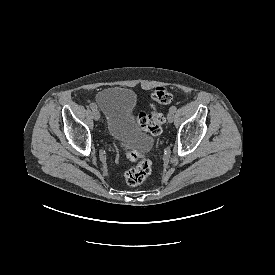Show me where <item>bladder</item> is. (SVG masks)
<instances>
[{
	"instance_id": "31cf9c89",
	"label": "bladder",
	"mask_w": 275,
	"mask_h": 275,
	"mask_svg": "<svg viewBox=\"0 0 275 275\" xmlns=\"http://www.w3.org/2000/svg\"><path fill=\"white\" fill-rule=\"evenodd\" d=\"M135 101L134 91L120 86L106 88L96 96V104L105 115L110 138L142 153L153 147V139L137 126L136 115L132 114Z\"/></svg>"
}]
</instances>
